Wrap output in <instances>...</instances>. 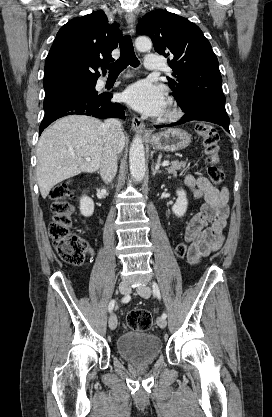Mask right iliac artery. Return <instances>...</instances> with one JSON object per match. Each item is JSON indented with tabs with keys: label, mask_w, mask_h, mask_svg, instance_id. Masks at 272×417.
Instances as JSON below:
<instances>
[{
	"label": "right iliac artery",
	"mask_w": 272,
	"mask_h": 417,
	"mask_svg": "<svg viewBox=\"0 0 272 417\" xmlns=\"http://www.w3.org/2000/svg\"><path fill=\"white\" fill-rule=\"evenodd\" d=\"M130 299H131V297H130L129 295H126V296H124V297L121 299V301H122L123 303H127V302H129V301H130ZM114 305H115V300H112V301L109 303V306H108V310H109V312H112V310H113V308H114Z\"/></svg>",
	"instance_id": "1"
}]
</instances>
